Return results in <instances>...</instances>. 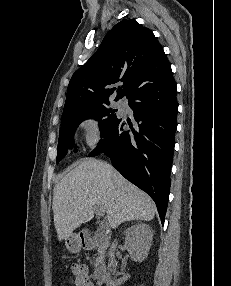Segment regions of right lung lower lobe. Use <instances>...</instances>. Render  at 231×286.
Listing matches in <instances>:
<instances>
[{"label": "right lung lower lobe", "instance_id": "right-lung-lower-lobe-1", "mask_svg": "<svg viewBox=\"0 0 231 286\" xmlns=\"http://www.w3.org/2000/svg\"><path fill=\"white\" fill-rule=\"evenodd\" d=\"M125 96L138 125L125 131V121L117 119L90 156H109L126 179L150 195L164 224L178 110L172 71L135 83Z\"/></svg>", "mask_w": 231, "mask_h": 286}]
</instances>
